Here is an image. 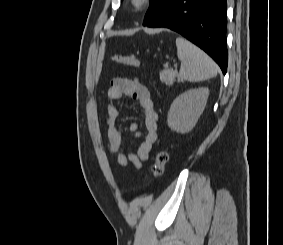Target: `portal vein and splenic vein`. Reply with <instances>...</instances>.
Segmentation results:
<instances>
[{
	"instance_id": "obj_1",
	"label": "portal vein and splenic vein",
	"mask_w": 283,
	"mask_h": 245,
	"mask_svg": "<svg viewBox=\"0 0 283 245\" xmlns=\"http://www.w3.org/2000/svg\"><path fill=\"white\" fill-rule=\"evenodd\" d=\"M174 67L176 68V67H177V64H174Z\"/></svg>"
}]
</instances>
